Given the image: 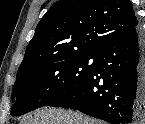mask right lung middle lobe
<instances>
[{
	"label": "right lung middle lobe",
	"mask_w": 145,
	"mask_h": 124,
	"mask_svg": "<svg viewBox=\"0 0 145 124\" xmlns=\"http://www.w3.org/2000/svg\"><path fill=\"white\" fill-rule=\"evenodd\" d=\"M96 57L76 54L50 59L17 77L11 95V114L23 115L43 107L83 81L92 71Z\"/></svg>",
	"instance_id": "obj_1"
}]
</instances>
